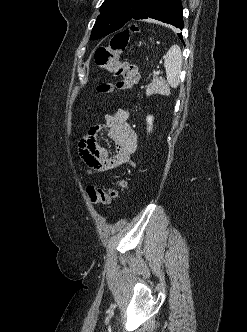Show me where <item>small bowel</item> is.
I'll return each mask as SVG.
<instances>
[{
  "instance_id": "small-bowel-1",
  "label": "small bowel",
  "mask_w": 247,
  "mask_h": 332,
  "mask_svg": "<svg viewBox=\"0 0 247 332\" xmlns=\"http://www.w3.org/2000/svg\"><path fill=\"white\" fill-rule=\"evenodd\" d=\"M128 117L126 110L119 109L105 115L104 123L89 128L80 142V156L90 170L105 172L123 163L132 164L130 157L137 148V135L128 124ZM103 131L115 146L114 156L98 143V134Z\"/></svg>"
}]
</instances>
